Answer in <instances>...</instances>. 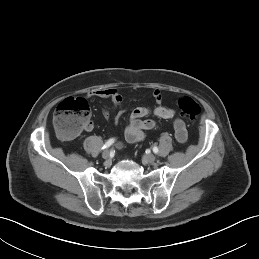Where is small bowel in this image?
<instances>
[{
    "mask_svg": "<svg viewBox=\"0 0 259 259\" xmlns=\"http://www.w3.org/2000/svg\"><path fill=\"white\" fill-rule=\"evenodd\" d=\"M153 99L157 103V106L153 109L148 107L135 108L129 117L128 124L125 128L124 137L129 143H135L143 139L144 131L152 130L157 126V123L152 119L146 117L153 115L160 119H172L175 117V111L172 108L161 105L162 94L159 90L152 92ZM88 98H109L112 102L111 109H105L103 111L104 117L109 119L110 111L119 109L123 103L122 94L115 88L97 89L87 94ZM93 128L91 122L86 131H90ZM175 138L178 143L184 144L187 141L188 135L184 122L181 119H175L174 121ZM117 147H122L121 142H117Z\"/></svg>",
    "mask_w": 259,
    "mask_h": 259,
    "instance_id": "obj_1",
    "label": "small bowel"
}]
</instances>
